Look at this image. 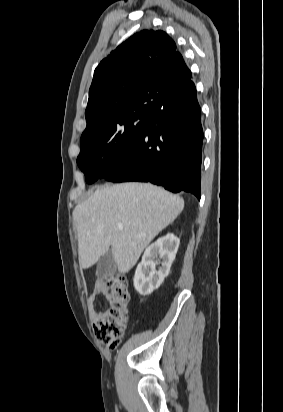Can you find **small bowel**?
<instances>
[{
    "mask_svg": "<svg viewBox=\"0 0 283 412\" xmlns=\"http://www.w3.org/2000/svg\"><path fill=\"white\" fill-rule=\"evenodd\" d=\"M107 294V289L102 281H97L94 285L92 292L87 297L88 312L91 320L95 321L104 314L102 311L96 309V301L98 296H104Z\"/></svg>",
    "mask_w": 283,
    "mask_h": 412,
    "instance_id": "c3829d8e",
    "label": "small bowel"
}]
</instances>
